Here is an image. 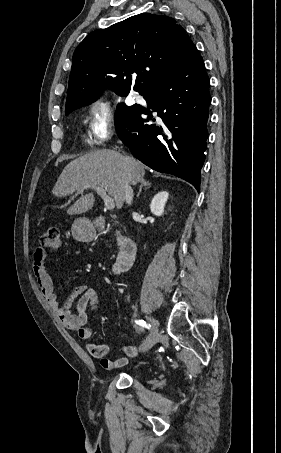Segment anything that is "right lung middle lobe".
<instances>
[{
	"instance_id": "right-lung-middle-lobe-1",
	"label": "right lung middle lobe",
	"mask_w": 281,
	"mask_h": 453,
	"mask_svg": "<svg viewBox=\"0 0 281 453\" xmlns=\"http://www.w3.org/2000/svg\"><path fill=\"white\" fill-rule=\"evenodd\" d=\"M70 113H71V112H66L65 114H66V115H69Z\"/></svg>"
}]
</instances>
